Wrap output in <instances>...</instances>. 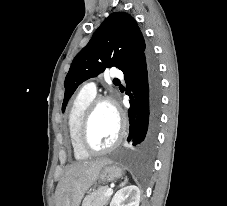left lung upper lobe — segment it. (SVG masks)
I'll return each instance as SVG.
<instances>
[{"label":"left lung upper lobe","mask_w":227,"mask_h":206,"mask_svg":"<svg viewBox=\"0 0 227 206\" xmlns=\"http://www.w3.org/2000/svg\"><path fill=\"white\" fill-rule=\"evenodd\" d=\"M147 51L135 19L125 12L110 14L71 64L65 78L62 112L82 82L98 76L108 67L127 72Z\"/></svg>","instance_id":"obj_1"}]
</instances>
